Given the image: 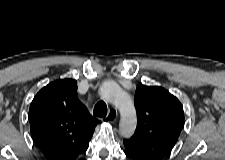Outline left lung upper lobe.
<instances>
[{
	"label": "left lung upper lobe",
	"instance_id": "obj_1",
	"mask_svg": "<svg viewBox=\"0 0 225 160\" xmlns=\"http://www.w3.org/2000/svg\"><path fill=\"white\" fill-rule=\"evenodd\" d=\"M137 127L123 143L132 153L146 160L167 157L176 144L184 125L179 100L158 86H138L135 94Z\"/></svg>",
	"mask_w": 225,
	"mask_h": 160
}]
</instances>
